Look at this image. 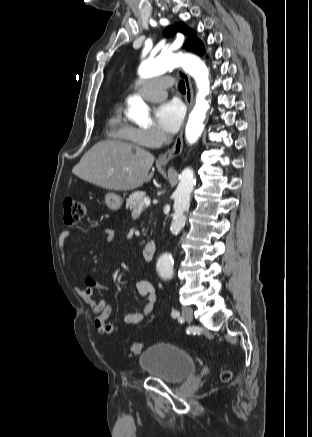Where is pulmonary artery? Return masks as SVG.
<instances>
[{"mask_svg": "<svg viewBox=\"0 0 312 437\" xmlns=\"http://www.w3.org/2000/svg\"><path fill=\"white\" fill-rule=\"evenodd\" d=\"M172 84L171 78L162 76L145 82L138 93L149 101H159L166 97L167 88Z\"/></svg>", "mask_w": 312, "mask_h": 437, "instance_id": "obj_1", "label": "pulmonary artery"}]
</instances>
